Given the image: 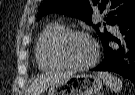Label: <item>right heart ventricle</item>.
Listing matches in <instances>:
<instances>
[{"instance_id":"obj_1","label":"right heart ventricle","mask_w":135,"mask_h":95,"mask_svg":"<svg viewBox=\"0 0 135 95\" xmlns=\"http://www.w3.org/2000/svg\"><path fill=\"white\" fill-rule=\"evenodd\" d=\"M64 31L65 26L63 24L54 22L48 24L40 33L35 45V58L41 70H55L61 68V66L53 60L50 53V46L53 40Z\"/></svg>"}]
</instances>
